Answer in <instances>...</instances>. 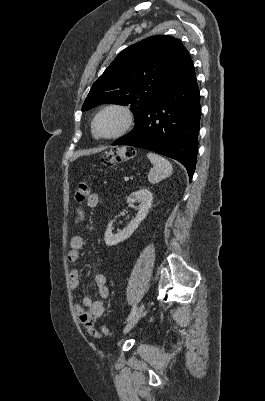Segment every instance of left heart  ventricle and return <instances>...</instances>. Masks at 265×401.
<instances>
[{
	"label": "left heart ventricle",
	"mask_w": 265,
	"mask_h": 401,
	"mask_svg": "<svg viewBox=\"0 0 265 401\" xmlns=\"http://www.w3.org/2000/svg\"><path fill=\"white\" fill-rule=\"evenodd\" d=\"M121 121V115L118 112H107L98 118L95 131L100 136L112 135L120 127Z\"/></svg>",
	"instance_id": "b2bd125f"
}]
</instances>
